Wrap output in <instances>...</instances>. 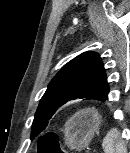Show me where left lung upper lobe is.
<instances>
[{"label":"left lung upper lobe","mask_w":130,"mask_h":153,"mask_svg":"<svg viewBox=\"0 0 130 153\" xmlns=\"http://www.w3.org/2000/svg\"><path fill=\"white\" fill-rule=\"evenodd\" d=\"M106 73L96 52H84L68 62L51 80L36 111L31 139L40 134L67 101L101 100L108 90Z\"/></svg>","instance_id":"1"}]
</instances>
